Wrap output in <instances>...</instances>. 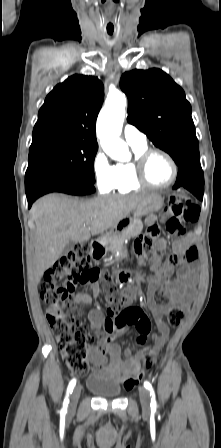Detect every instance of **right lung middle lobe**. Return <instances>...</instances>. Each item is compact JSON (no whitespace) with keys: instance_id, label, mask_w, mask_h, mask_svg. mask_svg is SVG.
<instances>
[{"instance_id":"right-lung-middle-lobe-1","label":"right lung middle lobe","mask_w":221,"mask_h":448,"mask_svg":"<svg viewBox=\"0 0 221 448\" xmlns=\"http://www.w3.org/2000/svg\"><path fill=\"white\" fill-rule=\"evenodd\" d=\"M98 144L83 141L57 142L30 148L25 177L47 174L78 184H93Z\"/></svg>"}]
</instances>
